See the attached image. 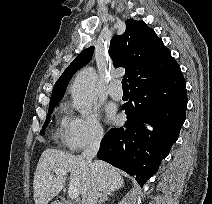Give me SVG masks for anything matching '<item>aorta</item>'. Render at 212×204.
<instances>
[{"label":"aorta","mask_w":212,"mask_h":204,"mask_svg":"<svg viewBox=\"0 0 212 204\" xmlns=\"http://www.w3.org/2000/svg\"><path fill=\"white\" fill-rule=\"evenodd\" d=\"M96 82V71L92 67H86L77 74L71 86L73 106L84 115L88 114L92 109Z\"/></svg>","instance_id":"obj_1"}]
</instances>
